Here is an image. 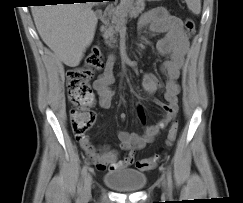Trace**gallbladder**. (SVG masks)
Returning a JSON list of instances; mask_svg holds the SVG:
<instances>
[{
  "label": "gallbladder",
  "mask_w": 243,
  "mask_h": 203,
  "mask_svg": "<svg viewBox=\"0 0 243 203\" xmlns=\"http://www.w3.org/2000/svg\"><path fill=\"white\" fill-rule=\"evenodd\" d=\"M101 13L99 11H96V16L100 17Z\"/></svg>",
  "instance_id": "obj_1"
}]
</instances>
